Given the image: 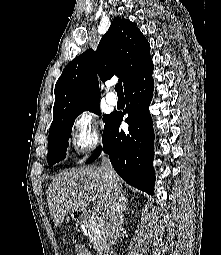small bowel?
Returning a JSON list of instances; mask_svg holds the SVG:
<instances>
[{
  "mask_svg": "<svg viewBox=\"0 0 221 255\" xmlns=\"http://www.w3.org/2000/svg\"><path fill=\"white\" fill-rule=\"evenodd\" d=\"M74 252L76 255H91L89 249L83 244H75Z\"/></svg>",
  "mask_w": 221,
  "mask_h": 255,
  "instance_id": "1",
  "label": "small bowel"
}]
</instances>
